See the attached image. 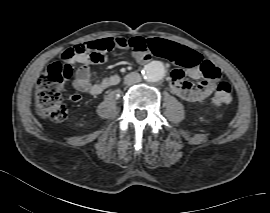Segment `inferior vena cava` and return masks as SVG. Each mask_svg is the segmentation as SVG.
Masks as SVG:
<instances>
[{
	"mask_svg": "<svg viewBox=\"0 0 270 213\" xmlns=\"http://www.w3.org/2000/svg\"><path fill=\"white\" fill-rule=\"evenodd\" d=\"M140 81H141V76L137 72H131V73L127 74L124 78V83L127 85L139 83Z\"/></svg>",
	"mask_w": 270,
	"mask_h": 213,
	"instance_id": "1",
	"label": "inferior vena cava"
}]
</instances>
